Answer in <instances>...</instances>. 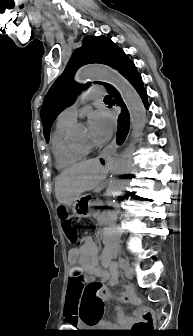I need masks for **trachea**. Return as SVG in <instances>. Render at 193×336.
Instances as JSON below:
<instances>
[{
	"label": "trachea",
	"mask_w": 193,
	"mask_h": 336,
	"mask_svg": "<svg viewBox=\"0 0 193 336\" xmlns=\"http://www.w3.org/2000/svg\"><path fill=\"white\" fill-rule=\"evenodd\" d=\"M104 100H111V97H110V96H106V97L104 98Z\"/></svg>",
	"instance_id": "3493384b"
}]
</instances>
